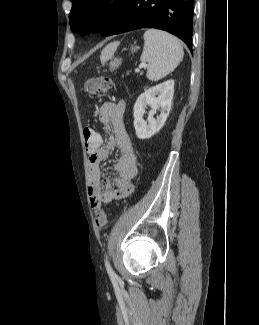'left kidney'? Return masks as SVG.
I'll return each mask as SVG.
<instances>
[{
  "label": "left kidney",
  "mask_w": 259,
  "mask_h": 325,
  "mask_svg": "<svg viewBox=\"0 0 259 325\" xmlns=\"http://www.w3.org/2000/svg\"><path fill=\"white\" fill-rule=\"evenodd\" d=\"M174 94V80H168L149 88L142 93L134 105V128L139 139H148L155 135L165 124ZM147 106L151 107L148 113V124L143 119ZM160 110V115L155 119L154 113Z\"/></svg>",
  "instance_id": "5707ae66"
}]
</instances>
